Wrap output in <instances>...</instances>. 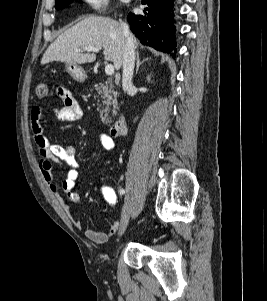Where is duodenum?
Wrapping results in <instances>:
<instances>
[{"label": "duodenum", "mask_w": 267, "mask_h": 301, "mask_svg": "<svg viewBox=\"0 0 267 301\" xmlns=\"http://www.w3.org/2000/svg\"><path fill=\"white\" fill-rule=\"evenodd\" d=\"M126 130V119L124 116H119L115 123L112 125L111 133L114 136L121 135Z\"/></svg>", "instance_id": "410a0bca"}]
</instances>
